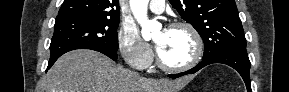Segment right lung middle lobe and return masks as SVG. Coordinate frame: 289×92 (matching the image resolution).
<instances>
[{
  "label": "right lung middle lobe",
  "mask_w": 289,
  "mask_h": 92,
  "mask_svg": "<svg viewBox=\"0 0 289 92\" xmlns=\"http://www.w3.org/2000/svg\"><path fill=\"white\" fill-rule=\"evenodd\" d=\"M120 19L66 18L56 20L50 44V59L74 49L118 50L117 28Z\"/></svg>",
  "instance_id": "dd1d6c3e"
}]
</instances>
